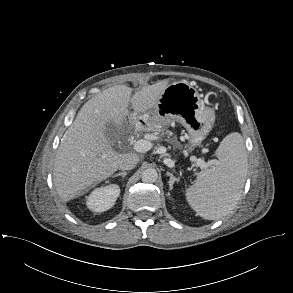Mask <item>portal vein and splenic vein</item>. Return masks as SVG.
<instances>
[{
    "instance_id": "portal-vein-and-splenic-vein-1",
    "label": "portal vein and splenic vein",
    "mask_w": 293,
    "mask_h": 293,
    "mask_svg": "<svg viewBox=\"0 0 293 293\" xmlns=\"http://www.w3.org/2000/svg\"><path fill=\"white\" fill-rule=\"evenodd\" d=\"M133 147L135 151L144 153L149 151L152 148V143L148 140L141 139V140H137L134 143ZM192 161L196 162V164L201 168L207 167V163H205L202 159L193 157Z\"/></svg>"
}]
</instances>
